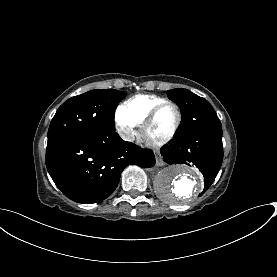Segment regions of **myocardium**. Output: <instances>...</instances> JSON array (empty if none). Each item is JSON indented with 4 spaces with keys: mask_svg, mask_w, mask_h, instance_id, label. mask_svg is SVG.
I'll return each instance as SVG.
<instances>
[{
    "mask_svg": "<svg viewBox=\"0 0 277 277\" xmlns=\"http://www.w3.org/2000/svg\"><path fill=\"white\" fill-rule=\"evenodd\" d=\"M168 106H173L176 109V113H177V121H176L173 129L171 130V132L167 136H165L164 138H162L160 140H150V139H148L147 136H146V133H147L148 129L154 124V122L157 119L159 113L164 108H166ZM182 120H183V115H182V111H181L179 105L175 102H172V101H166V102L158 104L156 107H154L152 109L150 114L147 116V118L142 123L141 133H142L143 137L146 138L147 141L150 144L155 145V146L163 145V144L169 142L170 140H172L175 137V135L179 131V128L182 124Z\"/></svg>",
    "mask_w": 277,
    "mask_h": 277,
    "instance_id": "f54148a6",
    "label": "myocardium"
}]
</instances>
